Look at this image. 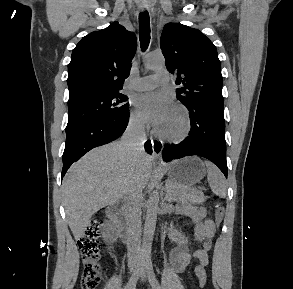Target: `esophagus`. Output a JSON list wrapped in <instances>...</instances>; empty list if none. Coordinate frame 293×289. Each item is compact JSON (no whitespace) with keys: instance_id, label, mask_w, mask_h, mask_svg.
<instances>
[{"instance_id":"1","label":"esophagus","mask_w":293,"mask_h":289,"mask_svg":"<svg viewBox=\"0 0 293 289\" xmlns=\"http://www.w3.org/2000/svg\"><path fill=\"white\" fill-rule=\"evenodd\" d=\"M144 8H142L143 10ZM152 156L154 160L162 161L163 144L159 141H152Z\"/></svg>"}]
</instances>
